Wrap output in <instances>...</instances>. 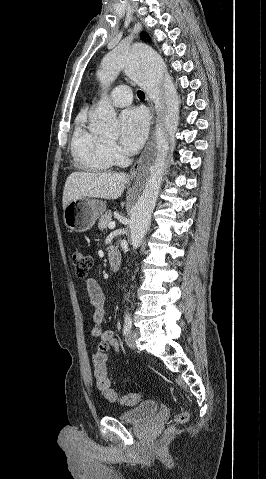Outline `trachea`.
Masks as SVG:
<instances>
[{
	"label": "trachea",
	"mask_w": 266,
	"mask_h": 479,
	"mask_svg": "<svg viewBox=\"0 0 266 479\" xmlns=\"http://www.w3.org/2000/svg\"><path fill=\"white\" fill-rule=\"evenodd\" d=\"M137 95H138V97H139L140 99H144V98H145V94H144V92L141 91V90L137 92Z\"/></svg>",
	"instance_id": "3493384b"
}]
</instances>
